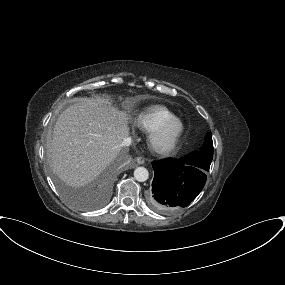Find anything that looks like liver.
<instances>
[{
    "instance_id": "obj_1",
    "label": "liver",
    "mask_w": 285,
    "mask_h": 285,
    "mask_svg": "<svg viewBox=\"0 0 285 285\" xmlns=\"http://www.w3.org/2000/svg\"><path fill=\"white\" fill-rule=\"evenodd\" d=\"M129 119L107 100L85 99L69 106L56 121L49 147L53 171L72 186L93 181L120 152Z\"/></svg>"
}]
</instances>
